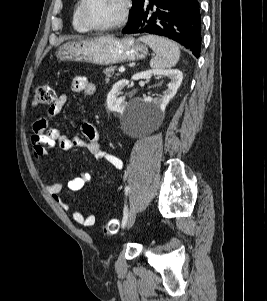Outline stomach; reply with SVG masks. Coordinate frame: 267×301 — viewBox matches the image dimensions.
<instances>
[{"instance_id":"1","label":"stomach","mask_w":267,"mask_h":301,"mask_svg":"<svg viewBox=\"0 0 267 301\" xmlns=\"http://www.w3.org/2000/svg\"><path fill=\"white\" fill-rule=\"evenodd\" d=\"M147 47L131 36L122 39L105 36L87 40L68 41L57 50L62 61L111 65L145 58Z\"/></svg>"}]
</instances>
